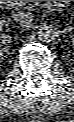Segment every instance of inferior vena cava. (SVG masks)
<instances>
[{
	"mask_svg": "<svg viewBox=\"0 0 74 122\" xmlns=\"http://www.w3.org/2000/svg\"><path fill=\"white\" fill-rule=\"evenodd\" d=\"M15 20L21 26L29 27L34 20V16L28 11H21L16 15Z\"/></svg>",
	"mask_w": 74,
	"mask_h": 122,
	"instance_id": "602c4592",
	"label": "inferior vena cava"
}]
</instances>
